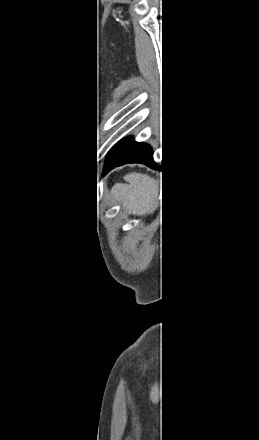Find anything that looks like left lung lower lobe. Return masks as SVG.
Instances as JSON below:
<instances>
[{"label": "left lung lower lobe", "instance_id": "1", "mask_svg": "<svg viewBox=\"0 0 259 440\" xmlns=\"http://www.w3.org/2000/svg\"><path fill=\"white\" fill-rule=\"evenodd\" d=\"M126 163H143L159 169L153 161V152L150 146L137 143L128 137L112 147L106 157L105 169Z\"/></svg>", "mask_w": 259, "mask_h": 440}]
</instances>
